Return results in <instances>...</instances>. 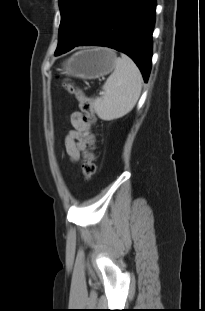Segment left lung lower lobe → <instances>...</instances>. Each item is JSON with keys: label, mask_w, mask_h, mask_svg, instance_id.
I'll return each instance as SVG.
<instances>
[{"label": "left lung lower lobe", "mask_w": 205, "mask_h": 311, "mask_svg": "<svg viewBox=\"0 0 205 311\" xmlns=\"http://www.w3.org/2000/svg\"><path fill=\"white\" fill-rule=\"evenodd\" d=\"M155 7L156 0H115L102 21L71 49L95 45L121 51L133 59L147 82L151 69Z\"/></svg>", "instance_id": "0a47b994"}]
</instances>
